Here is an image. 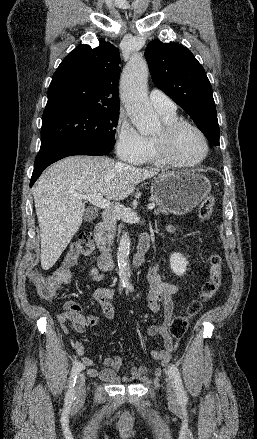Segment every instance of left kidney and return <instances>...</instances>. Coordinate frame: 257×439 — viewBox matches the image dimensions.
Wrapping results in <instances>:
<instances>
[{
  "label": "left kidney",
  "instance_id": "5707ae66",
  "mask_svg": "<svg viewBox=\"0 0 257 439\" xmlns=\"http://www.w3.org/2000/svg\"><path fill=\"white\" fill-rule=\"evenodd\" d=\"M188 261L187 258H185L180 253H173L170 256V267L172 271L178 275H183L187 270Z\"/></svg>",
  "mask_w": 257,
  "mask_h": 439
}]
</instances>
